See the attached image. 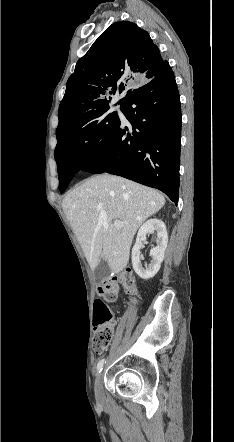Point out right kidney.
Instances as JSON below:
<instances>
[{"instance_id": "1", "label": "right kidney", "mask_w": 234, "mask_h": 442, "mask_svg": "<svg viewBox=\"0 0 234 442\" xmlns=\"http://www.w3.org/2000/svg\"><path fill=\"white\" fill-rule=\"evenodd\" d=\"M153 232L157 233V246L150 250V256L152 257L151 263L143 267L141 264L142 255L140 249L144 247L143 242L146 240V235ZM167 243L168 234L166 226L162 220L153 218L146 221L140 227L136 243L132 248L133 269L140 278L148 280L157 274L164 259Z\"/></svg>"}]
</instances>
